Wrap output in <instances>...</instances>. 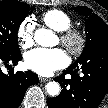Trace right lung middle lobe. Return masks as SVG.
I'll list each match as a JSON object with an SVG mask.
<instances>
[{
    "label": "right lung middle lobe",
    "mask_w": 108,
    "mask_h": 108,
    "mask_svg": "<svg viewBox=\"0 0 108 108\" xmlns=\"http://www.w3.org/2000/svg\"><path fill=\"white\" fill-rule=\"evenodd\" d=\"M28 13L29 9L26 3L0 2V55L14 56L20 53L17 32Z\"/></svg>",
    "instance_id": "dd1d6c3e"
}]
</instances>
